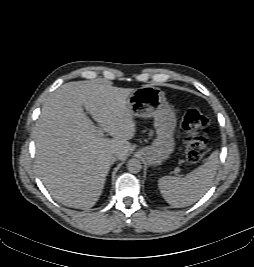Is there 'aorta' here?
<instances>
[{
	"label": "aorta",
	"instance_id": "obj_1",
	"mask_svg": "<svg viewBox=\"0 0 254 267\" xmlns=\"http://www.w3.org/2000/svg\"><path fill=\"white\" fill-rule=\"evenodd\" d=\"M141 169H142V163L139 159L133 158L128 161L127 170L130 173H133V174L139 173Z\"/></svg>",
	"mask_w": 254,
	"mask_h": 267
}]
</instances>
